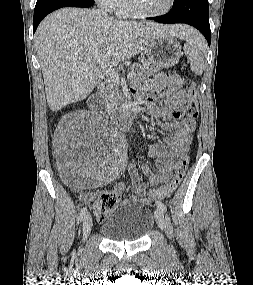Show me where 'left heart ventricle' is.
I'll return each mask as SVG.
<instances>
[{
	"instance_id": "1",
	"label": "left heart ventricle",
	"mask_w": 253,
	"mask_h": 285,
	"mask_svg": "<svg viewBox=\"0 0 253 285\" xmlns=\"http://www.w3.org/2000/svg\"><path fill=\"white\" fill-rule=\"evenodd\" d=\"M141 11L155 13L163 11L169 5L170 0H135Z\"/></svg>"
}]
</instances>
